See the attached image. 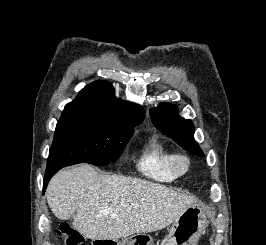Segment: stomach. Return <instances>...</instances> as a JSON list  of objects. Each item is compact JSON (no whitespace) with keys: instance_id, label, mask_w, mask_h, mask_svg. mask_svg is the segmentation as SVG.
Segmentation results:
<instances>
[{"instance_id":"0dacf381","label":"stomach","mask_w":266,"mask_h":245,"mask_svg":"<svg viewBox=\"0 0 266 245\" xmlns=\"http://www.w3.org/2000/svg\"><path fill=\"white\" fill-rule=\"evenodd\" d=\"M207 227V219L200 207H188L183 215L175 219L161 245H197L199 237ZM153 245L147 233H136L122 241H111V245Z\"/></svg>"}]
</instances>
